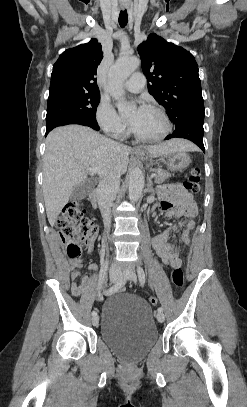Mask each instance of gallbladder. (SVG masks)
<instances>
[{
  "label": "gallbladder",
  "instance_id": "gallbladder-1",
  "mask_svg": "<svg viewBox=\"0 0 247 407\" xmlns=\"http://www.w3.org/2000/svg\"><path fill=\"white\" fill-rule=\"evenodd\" d=\"M94 186V181L88 179L84 181L82 184L78 185L74 188L71 193V200H81L88 196Z\"/></svg>",
  "mask_w": 247,
  "mask_h": 407
}]
</instances>
